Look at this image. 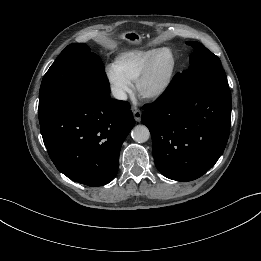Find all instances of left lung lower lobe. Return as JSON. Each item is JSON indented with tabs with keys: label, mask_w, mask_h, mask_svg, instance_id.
Returning a JSON list of instances; mask_svg holds the SVG:
<instances>
[{
	"label": "left lung lower lobe",
	"mask_w": 261,
	"mask_h": 261,
	"mask_svg": "<svg viewBox=\"0 0 261 261\" xmlns=\"http://www.w3.org/2000/svg\"><path fill=\"white\" fill-rule=\"evenodd\" d=\"M153 103L142 122L152 136L157 169L167 178L191 181L206 173L222 155L231 124V92L226 77H206L184 96L175 78Z\"/></svg>",
	"instance_id": "left-lung-lower-lobe-1"
}]
</instances>
